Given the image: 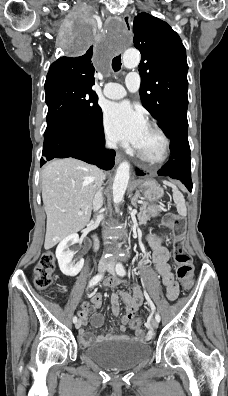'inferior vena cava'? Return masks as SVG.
Here are the masks:
<instances>
[{"label":"inferior vena cava","instance_id":"obj_1","mask_svg":"<svg viewBox=\"0 0 228 396\" xmlns=\"http://www.w3.org/2000/svg\"><path fill=\"white\" fill-rule=\"evenodd\" d=\"M107 147L116 149L117 148L116 142L115 141L108 142L107 143ZM102 205H103V195H102V188H100L96 192V194L94 196V199H93V210H94V212H98V210L102 207ZM97 219L98 220H103L104 216L102 214L97 215Z\"/></svg>","mask_w":228,"mask_h":396}]
</instances>
